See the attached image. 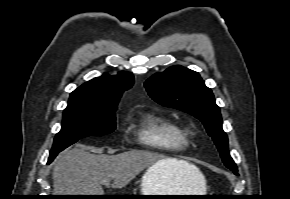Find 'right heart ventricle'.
<instances>
[{"label": "right heart ventricle", "instance_id": "1", "mask_svg": "<svg viewBox=\"0 0 290 199\" xmlns=\"http://www.w3.org/2000/svg\"><path fill=\"white\" fill-rule=\"evenodd\" d=\"M129 129L143 145L156 150L177 152L189 145L187 135L176 122L153 112L131 119Z\"/></svg>", "mask_w": 290, "mask_h": 199}]
</instances>
